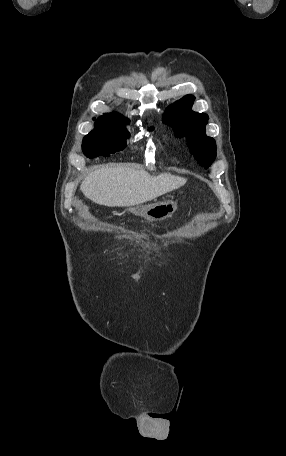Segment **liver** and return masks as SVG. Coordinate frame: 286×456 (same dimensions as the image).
I'll return each instance as SVG.
<instances>
[{"label": "liver", "instance_id": "liver-1", "mask_svg": "<svg viewBox=\"0 0 286 456\" xmlns=\"http://www.w3.org/2000/svg\"><path fill=\"white\" fill-rule=\"evenodd\" d=\"M187 179L161 173L150 176L144 169L118 166L92 171L80 190L93 202L108 207L135 206L182 187Z\"/></svg>", "mask_w": 286, "mask_h": 456}]
</instances>
